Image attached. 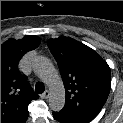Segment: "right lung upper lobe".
<instances>
[{
  "label": "right lung upper lobe",
  "instance_id": "right-lung-upper-lobe-1",
  "mask_svg": "<svg viewBox=\"0 0 123 123\" xmlns=\"http://www.w3.org/2000/svg\"><path fill=\"white\" fill-rule=\"evenodd\" d=\"M40 38L25 36L1 45V123H25L28 105L38 98L18 70L20 58L40 44Z\"/></svg>",
  "mask_w": 123,
  "mask_h": 123
}]
</instances>
